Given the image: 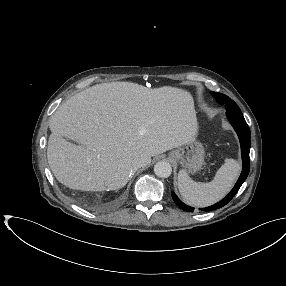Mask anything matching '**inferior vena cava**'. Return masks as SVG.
I'll return each mask as SVG.
<instances>
[{"mask_svg":"<svg viewBox=\"0 0 286 286\" xmlns=\"http://www.w3.org/2000/svg\"><path fill=\"white\" fill-rule=\"evenodd\" d=\"M140 166H141L140 163H136L134 169L139 168Z\"/></svg>","mask_w":286,"mask_h":286,"instance_id":"1","label":"inferior vena cava"}]
</instances>
